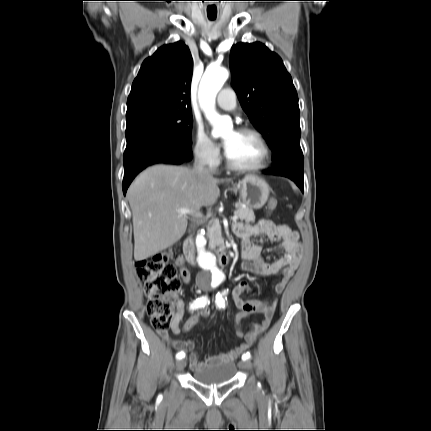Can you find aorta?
Returning <instances> with one entry per match:
<instances>
[{
  "label": "aorta",
  "mask_w": 431,
  "mask_h": 431,
  "mask_svg": "<svg viewBox=\"0 0 431 431\" xmlns=\"http://www.w3.org/2000/svg\"><path fill=\"white\" fill-rule=\"evenodd\" d=\"M229 73L225 68L210 66L206 69L199 85V103L207 119L213 124V137H220L229 129V123L215 111V99L219 90L228 79ZM207 237L204 232L197 234L198 263L208 272V279L221 282L223 272L217 267L216 258L207 248Z\"/></svg>",
  "instance_id": "aorta-1"
}]
</instances>
